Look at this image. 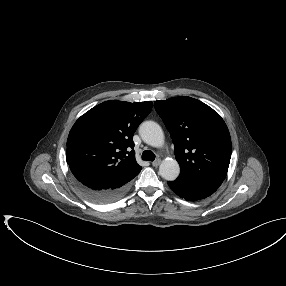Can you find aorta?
Returning a JSON list of instances; mask_svg holds the SVG:
<instances>
[{"mask_svg":"<svg viewBox=\"0 0 286 286\" xmlns=\"http://www.w3.org/2000/svg\"><path fill=\"white\" fill-rule=\"evenodd\" d=\"M139 134L142 140L153 147H162L164 145V133L162 128L153 121H145L139 127ZM161 177L168 181L175 180L180 173L178 162L172 158L164 159L159 166Z\"/></svg>","mask_w":286,"mask_h":286,"instance_id":"obj_1","label":"aorta"}]
</instances>
